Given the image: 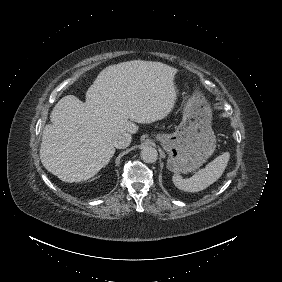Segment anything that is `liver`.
I'll use <instances>...</instances> for the list:
<instances>
[{"mask_svg": "<svg viewBox=\"0 0 282 282\" xmlns=\"http://www.w3.org/2000/svg\"><path fill=\"white\" fill-rule=\"evenodd\" d=\"M177 71L161 62H122L98 74L85 102L74 95L61 98L43 130V166L64 182L95 176L113 157L116 135L134 134L133 122L152 123L172 111Z\"/></svg>", "mask_w": 282, "mask_h": 282, "instance_id": "liver-1", "label": "liver"}]
</instances>
